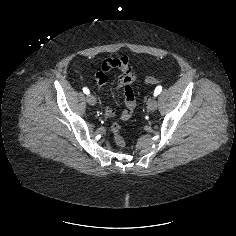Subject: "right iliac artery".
I'll use <instances>...</instances> for the list:
<instances>
[{"mask_svg": "<svg viewBox=\"0 0 236 236\" xmlns=\"http://www.w3.org/2000/svg\"><path fill=\"white\" fill-rule=\"evenodd\" d=\"M83 92H84L85 94H89V93H90L89 89L86 88V87L83 88Z\"/></svg>", "mask_w": 236, "mask_h": 236, "instance_id": "right-iliac-artery-1", "label": "right iliac artery"}]
</instances>
